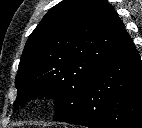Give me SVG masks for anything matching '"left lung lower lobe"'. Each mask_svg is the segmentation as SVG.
Instances as JSON below:
<instances>
[{"instance_id": "0a47b994", "label": "left lung lower lobe", "mask_w": 142, "mask_h": 128, "mask_svg": "<svg viewBox=\"0 0 142 128\" xmlns=\"http://www.w3.org/2000/svg\"><path fill=\"white\" fill-rule=\"evenodd\" d=\"M89 128H142V67L132 40L86 84L69 116Z\"/></svg>"}]
</instances>
